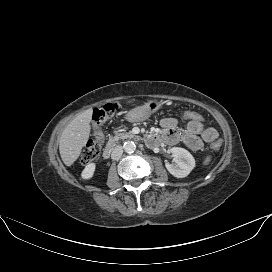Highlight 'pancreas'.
Returning a JSON list of instances; mask_svg holds the SVG:
<instances>
[{
    "label": "pancreas",
    "instance_id": "cf45deb5",
    "mask_svg": "<svg viewBox=\"0 0 272 272\" xmlns=\"http://www.w3.org/2000/svg\"><path fill=\"white\" fill-rule=\"evenodd\" d=\"M134 136L131 132L125 133L122 130H117L115 131V136L110 138V141H119L120 139L133 138Z\"/></svg>",
    "mask_w": 272,
    "mask_h": 272
}]
</instances>
